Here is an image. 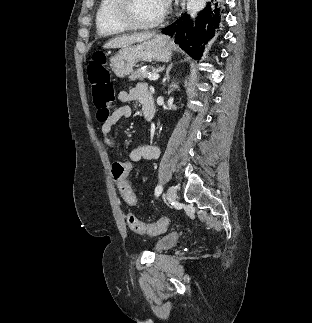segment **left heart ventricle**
I'll use <instances>...</instances> for the list:
<instances>
[{
	"mask_svg": "<svg viewBox=\"0 0 312 323\" xmlns=\"http://www.w3.org/2000/svg\"><path fill=\"white\" fill-rule=\"evenodd\" d=\"M125 3L126 14L143 22H152L153 18H158V9L163 8L161 0H125Z\"/></svg>",
	"mask_w": 312,
	"mask_h": 323,
	"instance_id": "obj_1",
	"label": "left heart ventricle"
}]
</instances>
